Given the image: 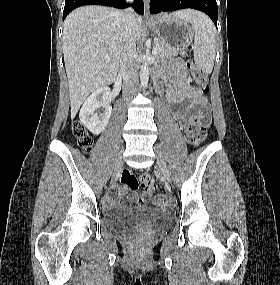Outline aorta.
<instances>
[{"label":"aorta","mask_w":280,"mask_h":285,"mask_svg":"<svg viewBox=\"0 0 280 285\" xmlns=\"http://www.w3.org/2000/svg\"><path fill=\"white\" fill-rule=\"evenodd\" d=\"M140 81L143 89L146 88L149 81V67L146 61L143 62V64L141 65Z\"/></svg>","instance_id":"obj_1"}]
</instances>
